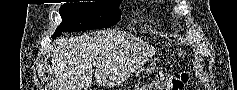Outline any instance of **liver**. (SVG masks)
Instances as JSON below:
<instances>
[{
	"label": "liver",
	"mask_w": 237,
	"mask_h": 90,
	"mask_svg": "<svg viewBox=\"0 0 237 90\" xmlns=\"http://www.w3.org/2000/svg\"><path fill=\"white\" fill-rule=\"evenodd\" d=\"M52 54L53 72L57 74L56 90H88L92 84V68L107 62L116 52L113 36L92 32L91 36L59 38Z\"/></svg>",
	"instance_id": "1"
}]
</instances>
